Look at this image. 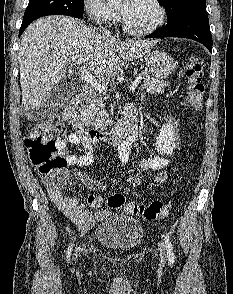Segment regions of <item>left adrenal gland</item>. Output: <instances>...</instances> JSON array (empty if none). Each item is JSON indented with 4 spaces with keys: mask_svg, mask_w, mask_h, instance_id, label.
<instances>
[{
    "mask_svg": "<svg viewBox=\"0 0 233 294\" xmlns=\"http://www.w3.org/2000/svg\"><path fill=\"white\" fill-rule=\"evenodd\" d=\"M141 99H143V95L141 94Z\"/></svg>",
    "mask_w": 233,
    "mask_h": 294,
    "instance_id": "1",
    "label": "left adrenal gland"
}]
</instances>
